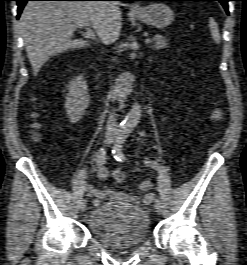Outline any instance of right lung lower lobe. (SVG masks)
<instances>
[{
  "mask_svg": "<svg viewBox=\"0 0 247 265\" xmlns=\"http://www.w3.org/2000/svg\"><path fill=\"white\" fill-rule=\"evenodd\" d=\"M18 3L17 19L20 17L23 7L27 1H128V0H15Z\"/></svg>",
  "mask_w": 247,
  "mask_h": 265,
  "instance_id": "obj_1",
  "label": "right lung lower lobe"
}]
</instances>
